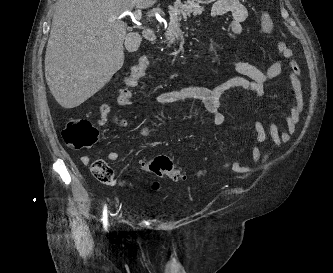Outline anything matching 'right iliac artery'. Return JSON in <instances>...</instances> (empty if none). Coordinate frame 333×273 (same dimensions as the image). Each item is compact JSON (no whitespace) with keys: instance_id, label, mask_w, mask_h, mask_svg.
<instances>
[{"instance_id":"obj_1","label":"right iliac artery","mask_w":333,"mask_h":273,"mask_svg":"<svg viewBox=\"0 0 333 273\" xmlns=\"http://www.w3.org/2000/svg\"><path fill=\"white\" fill-rule=\"evenodd\" d=\"M107 206L105 205L104 206V209H103V217H102V221H103V226L105 228V230H107V227H108V219H107Z\"/></svg>"}]
</instances>
